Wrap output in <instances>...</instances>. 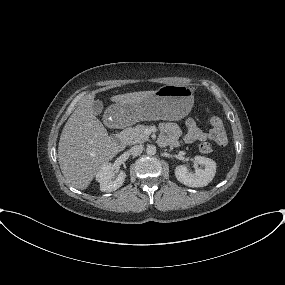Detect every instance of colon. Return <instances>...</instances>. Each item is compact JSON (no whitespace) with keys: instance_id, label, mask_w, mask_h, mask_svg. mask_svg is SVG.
Wrapping results in <instances>:
<instances>
[{"instance_id":"colon-1","label":"colon","mask_w":285,"mask_h":285,"mask_svg":"<svg viewBox=\"0 0 285 285\" xmlns=\"http://www.w3.org/2000/svg\"><path fill=\"white\" fill-rule=\"evenodd\" d=\"M209 136L220 147L225 148L228 145V136L224 120L217 116L211 115L209 118ZM200 152L207 154L211 151L209 143L204 142L199 145Z\"/></svg>"}]
</instances>
